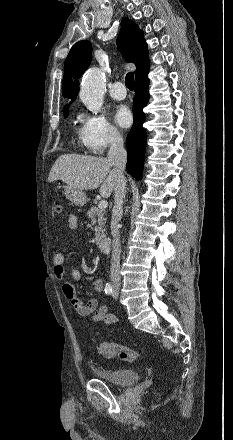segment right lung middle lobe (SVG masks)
Segmentation results:
<instances>
[{
  "label": "right lung middle lobe",
  "mask_w": 233,
  "mask_h": 440,
  "mask_svg": "<svg viewBox=\"0 0 233 440\" xmlns=\"http://www.w3.org/2000/svg\"><path fill=\"white\" fill-rule=\"evenodd\" d=\"M63 113H64V117H67L68 116V108L63 110Z\"/></svg>",
  "instance_id": "dd1d6c3e"
}]
</instances>
